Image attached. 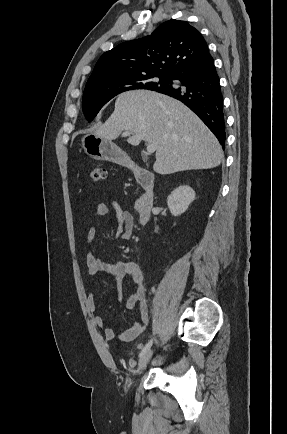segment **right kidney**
I'll use <instances>...</instances> for the list:
<instances>
[{"mask_svg": "<svg viewBox=\"0 0 287 434\" xmlns=\"http://www.w3.org/2000/svg\"><path fill=\"white\" fill-rule=\"evenodd\" d=\"M195 199V191L188 185H181L167 198L168 208L173 216L184 213Z\"/></svg>", "mask_w": 287, "mask_h": 434, "instance_id": "1", "label": "right kidney"}]
</instances>
